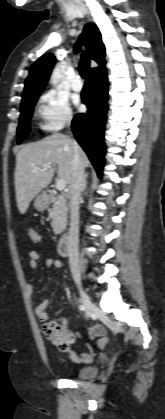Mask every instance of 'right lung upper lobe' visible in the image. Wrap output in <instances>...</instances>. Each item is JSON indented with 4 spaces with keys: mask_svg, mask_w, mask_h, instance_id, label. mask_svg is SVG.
Returning <instances> with one entry per match:
<instances>
[{
    "mask_svg": "<svg viewBox=\"0 0 165 419\" xmlns=\"http://www.w3.org/2000/svg\"><path fill=\"white\" fill-rule=\"evenodd\" d=\"M85 40L90 51L91 58L95 60L99 67L90 69V73L98 72L104 69L105 64V47L102 43L100 31L93 23L85 26L84 33L80 36L79 41L75 45V51L80 50L82 40ZM55 63V57L52 54H46L40 57L30 68L29 76L25 81V88L22 94V101L40 94L45 88L51 70Z\"/></svg>",
    "mask_w": 165,
    "mask_h": 419,
    "instance_id": "right-lung-upper-lobe-1",
    "label": "right lung upper lobe"
}]
</instances>
